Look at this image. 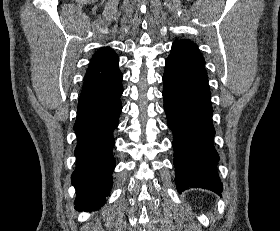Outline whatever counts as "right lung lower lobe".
Wrapping results in <instances>:
<instances>
[{
    "instance_id": "right-lung-lower-lobe-1",
    "label": "right lung lower lobe",
    "mask_w": 280,
    "mask_h": 231,
    "mask_svg": "<svg viewBox=\"0 0 280 231\" xmlns=\"http://www.w3.org/2000/svg\"><path fill=\"white\" fill-rule=\"evenodd\" d=\"M122 85L90 99L79 100L74 131L77 135V166L72 184L77 189L75 209L98 208L112 186L115 159L113 131L122 110Z\"/></svg>"
}]
</instances>
